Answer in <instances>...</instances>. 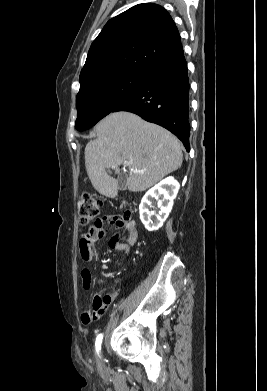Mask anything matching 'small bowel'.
Returning <instances> with one entry per match:
<instances>
[{
  "label": "small bowel",
  "instance_id": "c3829d8e",
  "mask_svg": "<svg viewBox=\"0 0 267 391\" xmlns=\"http://www.w3.org/2000/svg\"><path fill=\"white\" fill-rule=\"evenodd\" d=\"M105 225H113L116 228H124L126 231V243H121L118 238V234H114L109 240V246L112 249L123 251L128 254L130 249L136 244L138 240V231L136 223L133 220H127L124 223H120L115 215H105L101 218L100 222L95 223L93 227L84 235L89 241L88 253L84 254L80 250L81 257L84 261H89L92 255V246L99 239L103 238L107 230ZM83 285L85 289H89L91 286V275L88 270H84L82 273ZM116 293L106 294L103 297L95 295L92 302V307L84 311L81 315V321L85 324L97 320L103 316L110 303L115 298Z\"/></svg>",
  "mask_w": 267,
  "mask_h": 391
}]
</instances>
